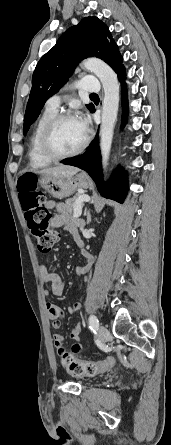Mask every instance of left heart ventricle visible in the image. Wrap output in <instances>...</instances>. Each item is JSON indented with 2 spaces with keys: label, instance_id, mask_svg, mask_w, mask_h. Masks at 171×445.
<instances>
[{
  "label": "left heart ventricle",
  "instance_id": "left-heart-ventricle-1",
  "mask_svg": "<svg viewBox=\"0 0 171 445\" xmlns=\"http://www.w3.org/2000/svg\"><path fill=\"white\" fill-rule=\"evenodd\" d=\"M86 132L79 120H66L56 126L50 136V147L56 153L77 149L84 141Z\"/></svg>",
  "mask_w": 171,
  "mask_h": 445
}]
</instances>
